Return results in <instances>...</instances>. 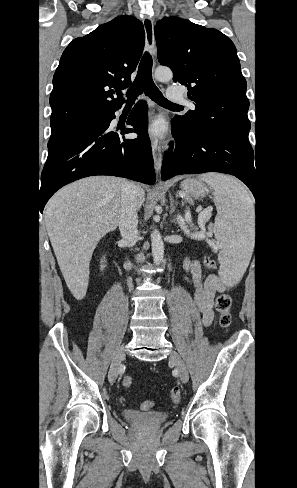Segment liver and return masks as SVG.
<instances>
[{"label": "liver", "mask_w": 297, "mask_h": 488, "mask_svg": "<svg viewBox=\"0 0 297 488\" xmlns=\"http://www.w3.org/2000/svg\"><path fill=\"white\" fill-rule=\"evenodd\" d=\"M127 180L93 176L71 183L54 194L45 208V222L65 282L77 300L85 297L89 263L98 242L116 229ZM139 205L144 189L136 186Z\"/></svg>", "instance_id": "liver-1"}]
</instances>
